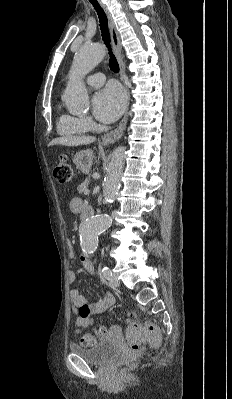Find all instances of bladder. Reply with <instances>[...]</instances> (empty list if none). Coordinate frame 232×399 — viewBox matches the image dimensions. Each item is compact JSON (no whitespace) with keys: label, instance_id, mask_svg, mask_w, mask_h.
Wrapping results in <instances>:
<instances>
[{"label":"bladder","instance_id":"obj_1","mask_svg":"<svg viewBox=\"0 0 232 399\" xmlns=\"http://www.w3.org/2000/svg\"><path fill=\"white\" fill-rule=\"evenodd\" d=\"M70 350L94 364L108 363L121 353L120 347L110 341H98L89 347L71 344Z\"/></svg>","mask_w":232,"mask_h":399}]
</instances>
